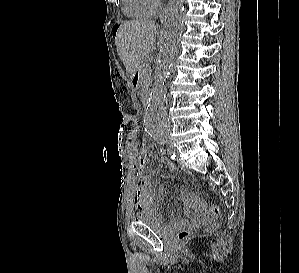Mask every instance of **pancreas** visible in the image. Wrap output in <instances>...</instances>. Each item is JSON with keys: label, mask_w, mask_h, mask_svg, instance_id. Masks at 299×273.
Masks as SVG:
<instances>
[{"label": "pancreas", "mask_w": 299, "mask_h": 273, "mask_svg": "<svg viewBox=\"0 0 299 273\" xmlns=\"http://www.w3.org/2000/svg\"><path fill=\"white\" fill-rule=\"evenodd\" d=\"M140 76H141V82L143 83V86H147L150 81V66L146 60H143L140 64Z\"/></svg>", "instance_id": "cf45deb5"}]
</instances>
